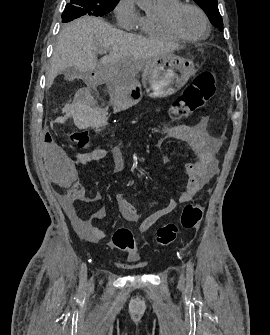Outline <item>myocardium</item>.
Wrapping results in <instances>:
<instances>
[{
    "label": "myocardium",
    "instance_id": "f54148a6",
    "mask_svg": "<svg viewBox=\"0 0 270 335\" xmlns=\"http://www.w3.org/2000/svg\"><path fill=\"white\" fill-rule=\"evenodd\" d=\"M185 7H191L199 13V15L201 16L203 20L204 27H205L203 34L198 35V36H188L180 30L177 24V18H178V14L180 13V11ZM162 21L165 27L168 29V31L171 34L183 40L196 41V40L204 39L210 34V30H211L209 20L206 14L204 13V11L201 8H199L197 5L190 3V2H181L173 6L169 10H167L162 16Z\"/></svg>",
    "mask_w": 270,
    "mask_h": 335
}]
</instances>
